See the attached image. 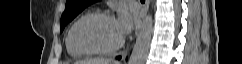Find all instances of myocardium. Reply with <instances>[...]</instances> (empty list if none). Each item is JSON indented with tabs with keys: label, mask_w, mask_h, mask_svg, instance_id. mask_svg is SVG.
Listing matches in <instances>:
<instances>
[{
	"label": "myocardium",
	"mask_w": 242,
	"mask_h": 64,
	"mask_svg": "<svg viewBox=\"0 0 242 64\" xmlns=\"http://www.w3.org/2000/svg\"><path fill=\"white\" fill-rule=\"evenodd\" d=\"M93 18H106V19H114V16L108 12H91L82 17H80L74 24L72 31H71V41L73 46L81 53L85 55H109L117 50H119L123 44L124 39H121L116 45L109 47V48H90L82 45L77 39V31L79 27L86 21L93 19Z\"/></svg>",
	"instance_id": "1"
}]
</instances>
